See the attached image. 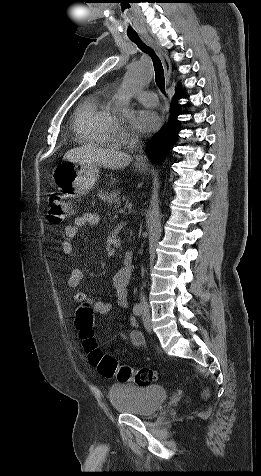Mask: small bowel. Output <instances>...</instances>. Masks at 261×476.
<instances>
[{"mask_svg": "<svg viewBox=\"0 0 261 476\" xmlns=\"http://www.w3.org/2000/svg\"><path fill=\"white\" fill-rule=\"evenodd\" d=\"M100 223L99 215L95 213H84L76 218L72 225L66 226L63 233V239L61 241V251L67 255L73 253L72 240L77 235L78 231L83 227L93 228ZM83 279V272L80 269L71 270L67 279V284L71 288H78L81 285ZM129 276L123 269L119 270L113 277L112 287L115 294L116 305L119 308L125 309L129 305L127 297V284ZM75 300L81 304H89L92 308L101 315L109 314L112 310V304L104 301H96L83 292H77L75 294ZM131 329L121 326L119 329V335L122 340L133 344L135 347H142L144 345V338L142 334L136 330L137 322L134 318H128Z\"/></svg>", "mask_w": 261, "mask_h": 476, "instance_id": "c3829d8e", "label": "small bowel"}]
</instances>
